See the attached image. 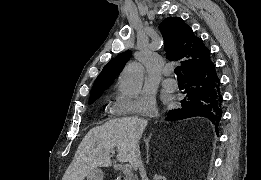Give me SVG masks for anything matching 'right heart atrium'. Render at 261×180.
I'll return each mask as SVG.
<instances>
[{"label": "right heart atrium", "mask_w": 261, "mask_h": 180, "mask_svg": "<svg viewBox=\"0 0 261 180\" xmlns=\"http://www.w3.org/2000/svg\"><path fill=\"white\" fill-rule=\"evenodd\" d=\"M116 98L123 105V110L111 112L110 114H152L156 110L155 95L152 92H141L140 98H131L124 95L120 90L116 92Z\"/></svg>", "instance_id": "right-heart-atrium-1"}]
</instances>
